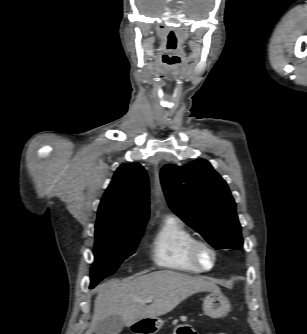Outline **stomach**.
<instances>
[{
    "mask_svg": "<svg viewBox=\"0 0 307 334\" xmlns=\"http://www.w3.org/2000/svg\"><path fill=\"white\" fill-rule=\"evenodd\" d=\"M230 309L231 305L229 300L220 291H212L204 298L203 311L211 318H222L228 314ZM143 320H141V323L151 332V334L157 332L164 323V321L160 318H153L152 320L145 321Z\"/></svg>",
    "mask_w": 307,
    "mask_h": 334,
    "instance_id": "obj_1",
    "label": "stomach"
}]
</instances>
